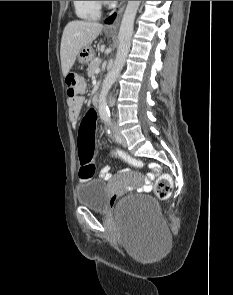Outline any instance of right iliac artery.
I'll use <instances>...</instances> for the list:
<instances>
[{
	"mask_svg": "<svg viewBox=\"0 0 233 295\" xmlns=\"http://www.w3.org/2000/svg\"><path fill=\"white\" fill-rule=\"evenodd\" d=\"M107 133H108V134H111V132H110V130H109V129L107 130Z\"/></svg>",
	"mask_w": 233,
	"mask_h": 295,
	"instance_id": "82829eb1",
	"label": "right iliac artery"
}]
</instances>
